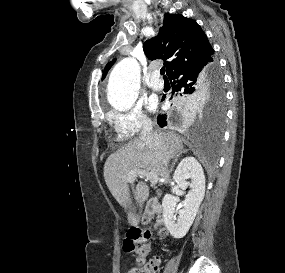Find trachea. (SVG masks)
<instances>
[{
    "label": "trachea",
    "instance_id": "1",
    "mask_svg": "<svg viewBox=\"0 0 285 273\" xmlns=\"http://www.w3.org/2000/svg\"><path fill=\"white\" fill-rule=\"evenodd\" d=\"M165 67H162L161 69H160V73H161V75L164 77V79H167V77H166V75H165Z\"/></svg>",
    "mask_w": 285,
    "mask_h": 273
}]
</instances>
